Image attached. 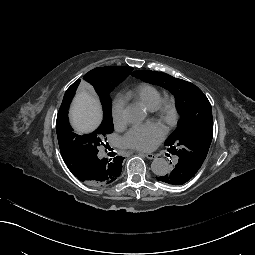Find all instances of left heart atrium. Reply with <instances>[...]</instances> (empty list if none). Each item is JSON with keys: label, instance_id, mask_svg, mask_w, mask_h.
Instances as JSON below:
<instances>
[{"label": "left heart atrium", "instance_id": "obj_1", "mask_svg": "<svg viewBox=\"0 0 255 255\" xmlns=\"http://www.w3.org/2000/svg\"><path fill=\"white\" fill-rule=\"evenodd\" d=\"M164 138V132L157 126H136L131 129L124 137L123 143L125 146L139 150L151 151Z\"/></svg>", "mask_w": 255, "mask_h": 255}]
</instances>
